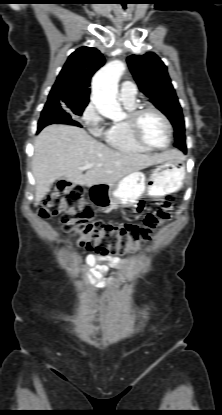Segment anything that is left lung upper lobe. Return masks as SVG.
I'll list each match as a JSON object with an SVG mask.
<instances>
[{
	"label": "left lung upper lobe",
	"instance_id": "obj_1",
	"mask_svg": "<svg viewBox=\"0 0 222 415\" xmlns=\"http://www.w3.org/2000/svg\"><path fill=\"white\" fill-rule=\"evenodd\" d=\"M127 63L139 89L172 123L175 131L174 146L186 150L185 125L181 106L178 102L167 67L154 53L131 55Z\"/></svg>",
	"mask_w": 222,
	"mask_h": 415
}]
</instances>
